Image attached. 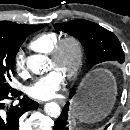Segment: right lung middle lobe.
Returning a JSON list of instances; mask_svg holds the SVG:
<instances>
[{
  "instance_id": "obj_1",
  "label": "right lung middle lobe",
  "mask_w": 130,
  "mask_h": 130,
  "mask_svg": "<svg viewBox=\"0 0 130 130\" xmlns=\"http://www.w3.org/2000/svg\"><path fill=\"white\" fill-rule=\"evenodd\" d=\"M43 28V25H29L18 36L0 35V84L9 85L14 75L15 56L26 37Z\"/></svg>"
}]
</instances>
